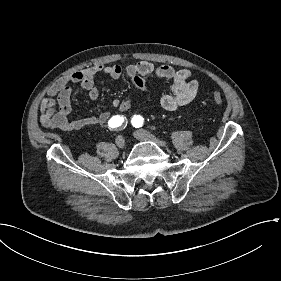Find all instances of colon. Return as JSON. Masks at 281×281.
Returning a JSON list of instances; mask_svg holds the SVG:
<instances>
[{
	"label": "colon",
	"instance_id": "colon-1",
	"mask_svg": "<svg viewBox=\"0 0 281 281\" xmlns=\"http://www.w3.org/2000/svg\"><path fill=\"white\" fill-rule=\"evenodd\" d=\"M212 101L215 103V104H222L224 102V97L222 94L220 93H215L213 94L212 96Z\"/></svg>",
	"mask_w": 281,
	"mask_h": 281
}]
</instances>
